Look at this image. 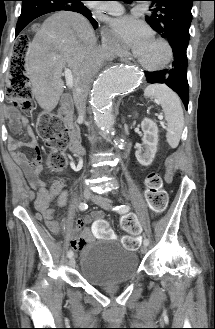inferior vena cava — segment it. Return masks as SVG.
Instances as JSON below:
<instances>
[{
	"label": "inferior vena cava",
	"instance_id": "inferior-vena-cava-1",
	"mask_svg": "<svg viewBox=\"0 0 215 329\" xmlns=\"http://www.w3.org/2000/svg\"><path fill=\"white\" fill-rule=\"evenodd\" d=\"M111 56V48L104 43L101 47L93 49L83 63L73 89V98L80 120H83L85 117L87 95L94 76L93 70H98L103 61Z\"/></svg>",
	"mask_w": 215,
	"mask_h": 329
}]
</instances>
